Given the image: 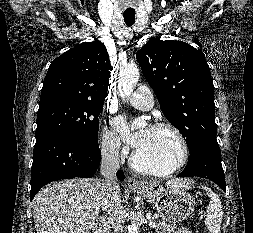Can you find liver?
Wrapping results in <instances>:
<instances>
[{"instance_id": "obj_1", "label": "liver", "mask_w": 253, "mask_h": 233, "mask_svg": "<svg viewBox=\"0 0 253 233\" xmlns=\"http://www.w3.org/2000/svg\"><path fill=\"white\" fill-rule=\"evenodd\" d=\"M183 184L179 180L166 183ZM101 181L71 179L46 186L33 200L37 233H89L101 207Z\"/></svg>"}]
</instances>
